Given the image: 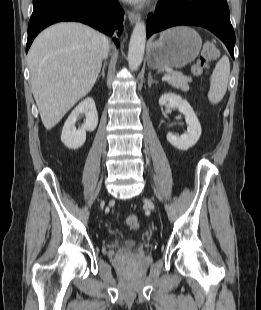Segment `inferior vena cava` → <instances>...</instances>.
<instances>
[{
    "label": "inferior vena cava",
    "instance_id": "602c4592",
    "mask_svg": "<svg viewBox=\"0 0 261 310\" xmlns=\"http://www.w3.org/2000/svg\"><path fill=\"white\" fill-rule=\"evenodd\" d=\"M108 51H109V40L107 37H105V42H104V52H103V57L107 58L108 56Z\"/></svg>",
    "mask_w": 261,
    "mask_h": 310
}]
</instances>
